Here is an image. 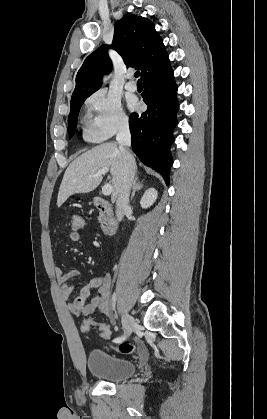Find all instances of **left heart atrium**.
<instances>
[{
	"label": "left heart atrium",
	"instance_id": "obj_1",
	"mask_svg": "<svg viewBox=\"0 0 267 419\" xmlns=\"http://www.w3.org/2000/svg\"><path fill=\"white\" fill-rule=\"evenodd\" d=\"M130 105H131V107H134V106H135V102H134V101H132V102L130 103Z\"/></svg>",
	"mask_w": 267,
	"mask_h": 419
}]
</instances>
